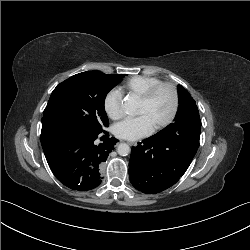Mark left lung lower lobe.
I'll return each mask as SVG.
<instances>
[{"instance_id": "0a47b994", "label": "left lung lower lobe", "mask_w": 250, "mask_h": 250, "mask_svg": "<svg viewBox=\"0 0 250 250\" xmlns=\"http://www.w3.org/2000/svg\"><path fill=\"white\" fill-rule=\"evenodd\" d=\"M201 121L178 124L132 147L129 178L139 191L154 194L174 185L199 147Z\"/></svg>"}]
</instances>
